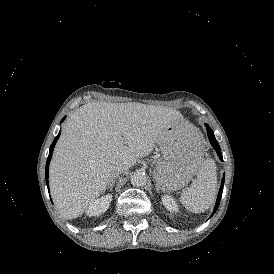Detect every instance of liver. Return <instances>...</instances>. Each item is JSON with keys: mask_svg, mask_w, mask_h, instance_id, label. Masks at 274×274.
<instances>
[{"mask_svg": "<svg viewBox=\"0 0 274 274\" xmlns=\"http://www.w3.org/2000/svg\"><path fill=\"white\" fill-rule=\"evenodd\" d=\"M186 122L168 107L138 102H89L63 125L49 166L54 204L67 219L82 215L139 158L149 155L160 138L178 133Z\"/></svg>", "mask_w": 274, "mask_h": 274, "instance_id": "6515ba94", "label": "liver"}]
</instances>
